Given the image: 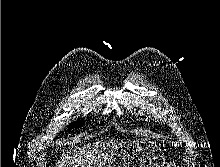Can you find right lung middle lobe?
Masks as SVG:
<instances>
[{"instance_id":"obj_1","label":"right lung middle lobe","mask_w":220,"mask_h":167,"mask_svg":"<svg viewBox=\"0 0 220 167\" xmlns=\"http://www.w3.org/2000/svg\"><path fill=\"white\" fill-rule=\"evenodd\" d=\"M82 121H77V122H73V123H71V125H70V128L72 129V128H80V127H82Z\"/></svg>"}]
</instances>
